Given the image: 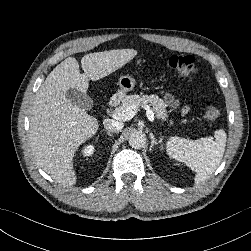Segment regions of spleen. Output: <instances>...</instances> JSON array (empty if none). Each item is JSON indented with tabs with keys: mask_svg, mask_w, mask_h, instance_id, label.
<instances>
[{
	"mask_svg": "<svg viewBox=\"0 0 251 251\" xmlns=\"http://www.w3.org/2000/svg\"><path fill=\"white\" fill-rule=\"evenodd\" d=\"M226 146V133L220 129L212 137L195 141L180 137H171L166 143L167 154L184 162L196 172L195 184H200L210 177L219 166Z\"/></svg>",
	"mask_w": 251,
	"mask_h": 251,
	"instance_id": "1",
	"label": "spleen"
}]
</instances>
